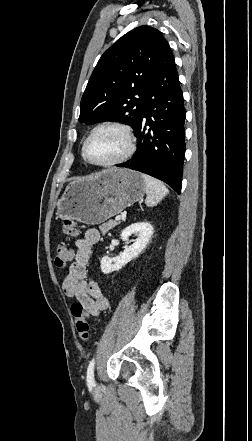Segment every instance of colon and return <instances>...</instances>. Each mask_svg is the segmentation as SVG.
Wrapping results in <instances>:
<instances>
[{
    "label": "colon",
    "mask_w": 252,
    "mask_h": 441,
    "mask_svg": "<svg viewBox=\"0 0 252 441\" xmlns=\"http://www.w3.org/2000/svg\"><path fill=\"white\" fill-rule=\"evenodd\" d=\"M64 232L68 236H76L78 228L74 222L66 220L64 224ZM73 259V251L65 243H59L56 246L55 265L59 268L65 267ZM72 315L75 318L76 329L81 339L86 341L89 338L90 325L82 304L75 301L71 306Z\"/></svg>",
    "instance_id": "5ec220e1"
}]
</instances>
